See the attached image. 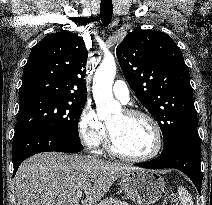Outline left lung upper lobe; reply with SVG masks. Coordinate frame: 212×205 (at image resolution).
Wrapping results in <instances>:
<instances>
[{
	"instance_id": "left-lung-upper-lobe-1",
	"label": "left lung upper lobe",
	"mask_w": 212,
	"mask_h": 205,
	"mask_svg": "<svg viewBox=\"0 0 212 205\" xmlns=\"http://www.w3.org/2000/svg\"><path fill=\"white\" fill-rule=\"evenodd\" d=\"M123 74L143 106L156 118L163 153L198 125L189 71L183 54L169 35L135 30L118 45Z\"/></svg>"
}]
</instances>
